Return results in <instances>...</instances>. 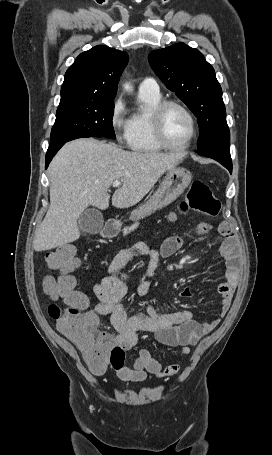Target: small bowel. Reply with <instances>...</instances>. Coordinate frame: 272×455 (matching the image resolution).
I'll return each instance as SVG.
<instances>
[{
    "instance_id": "c3829d8e",
    "label": "small bowel",
    "mask_w": 272,
    "mask_h": 455,
    "mask_svg": "<svg viewBox=\"0 0 272 455\" xmlns=\"http://www.w3.org/2000/svg\"><path fill=\"white\" fill-rule=\"evenodd\" d=\"M212 231V226L202 222L194 230L196 236H203ZM218 233L224 238L219 245V251L225 261V281L218 286L221 296V307L218 317L209 322H198L189 310L171 312L161 311L152 305H147L144 312L130 314L122 303L127 293L126 276L123 268L140 255H149L147 279L137 287L139 296H145L150 288V278L158 267L160 258L175 254L184 244L185 238L179 235L167 237L159 251L152 249L147 243H140L134 248L123 250L110 262L107 275L94 286L97 303L90 311L96 319L98 315L109 316L115 335L105 334L124 349L134 347L139 340V333H153L161 345L179 347L183 355L190 353V347L199 339L211 332L229 310L233 294L240 281V260L238 247L234 240L232 229L228 223H222ZM180 295L189 298L193 295L191 288H184ZM179 365H163L149 350L143 348L132 366H122L117 369L118 377L127 382H141L147 376L169 377L177 374Z\"/></svg>"
}]
</instances>
